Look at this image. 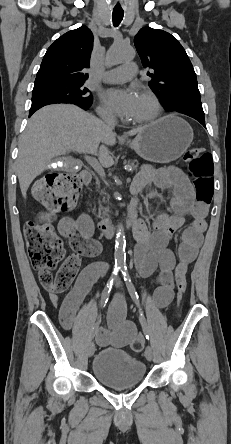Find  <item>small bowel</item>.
<instances>
[{
	"instance_id": "1",
	"label": "small bowel",
	"mask_w": 231,
	"mask_h": 444,
	"mask_svg": "<svg viewBox=\"0 0 231 444\" xmlns=\"http://www.w3.org/2000/svg\"><path fill=\"white\" fill-rule=\"evenodd\" d=\"M152 184L171 191L172 213L160 212L152 229H148L145 222L139 219L134 229V261L142 276L155 274L156 289L153 301L157 306L165 307L173 299L174 277L185 275L198 254L206 228L208 205L195 200L192 185L177 167L144 169L134 179L131 190L138 194ZM186 217L191 218L192 223L183 233L176 261L175 254L168 245L173 234L185 223ZM58 231L69 240L79 255L93 257L101 252V245L91 238L90 223L85 216L79 220L63 217L58 224ZM77 233L80 235L77 236ZM102 270L100 264L86 266L63 301L57 295L50 294L51 304L59 309L60 323L65 329L70 330L75 326L76 313ZM124 314V302L120 297H116L108 315V327H100L95 333L100 346L121 348L135 340L142 341L137 327L133 322L124 320Z\"/></svg>"
}]
</instances>
